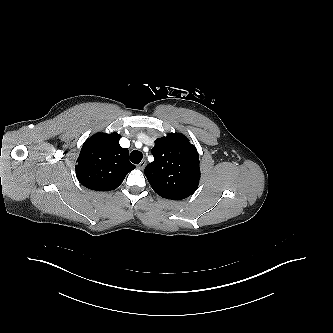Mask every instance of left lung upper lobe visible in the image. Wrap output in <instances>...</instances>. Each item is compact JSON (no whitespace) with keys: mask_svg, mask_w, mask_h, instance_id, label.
<instances>
[{"mask_svg":"<svg viewBox=\"0 0 333 333\" xmlns=\"http://www.w3.org/2000/svg\"><path fill=\"white\" fill-rule=\"evenodd\" d=\"M154 161L144 170L153 190L161 197L182 200L199 184V155L188 138L177 133L155 140Z\"/></svg>","mask_w":333,"mask_h":333,"instance_id":"5c2ea615","label":"left lung upper lobe"}]
</instances>
